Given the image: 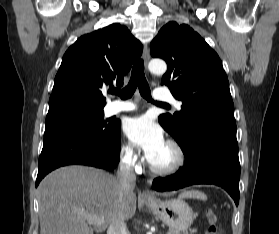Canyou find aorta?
<instances>
[{
    "label": "aorta",
    "instance_id": "obj_1",
    "mask_svg": "<svg viewBox=\"0 0 279 234\" xmlns=\"http://www.w3.org/2000/svg\"><path fill=\"white\" fill-rule=\"evenodd\" d=\"M149 71L154 74L162 75L167 70V65L163 60L152 59L148 64Z\"/></svg>",
    "mask_w": 279,
    "mask_h": 234
}]
</instances>
